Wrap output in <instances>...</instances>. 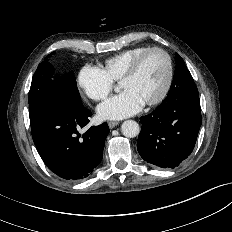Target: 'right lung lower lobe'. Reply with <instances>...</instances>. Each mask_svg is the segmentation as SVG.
<instances>
[{"label": "right lung lower lobe", "mask_w": 232, "mask_h": 232, "mask_svg": "<svg viewBox=\"0 0 232 232\" xmlns=\"http://www.w3.org/2000/svg\"><path fill=\"white\" fill-rule=\"evenodd\" d=\"M41 122L31 130L34 144L46 166L66 180L90 176L102 160L107 123L90 127L83 135L79 129L89 123L92 113L67 95L57 94Z\"/></svg>", "instance_id": "98d812e1"}]
</instances>
